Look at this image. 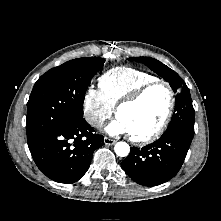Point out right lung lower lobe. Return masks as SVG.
Returning a JSON list of instances; mask_svg holds the SVG:
<instances>
[{
	"label": "right lung lower lobe",
	"mask_w": 221,
	"mask_h": 221,
	"mask_svg": "<svg viewBox=\"0 0 221 221\" xmlns=\"http://www.w3.org/2000/svg\"><path fill=\"white\" fill-rule=\"evenodd\" d=\"M84 118L66 122L28 144L31 155L48 178L59 183L77 182L88 170L93 152L104 143Z\"/></svg>",
	"instance_id": "right-lung-lower-lobe-1"
}]
</instances>
